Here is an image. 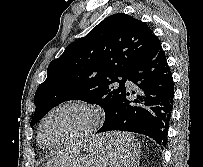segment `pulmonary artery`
<instances>
[{
    "label": "pulmonary artery",
    "instance_id": "1",
    "mask_svg": "<svg viewBox=\"0 0 203 167\" xmlns=\"http://www.w3.org/2000/svg\"><path fill=\"white\" fill-rule=\"evenodd\" d=\"M127 85H128V86H131L132 83H131L130 81H127Z\"/></svg>",
    "mask_w": 203,
    "mask_h": 167
}]
</instances>
